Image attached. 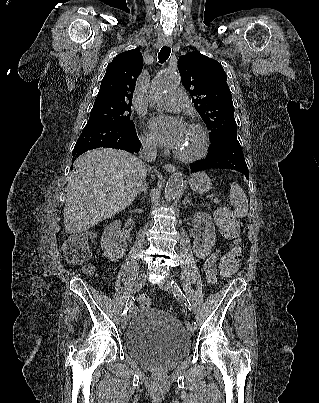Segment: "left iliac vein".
Returning a JSON list of instances; mask_svg holds the SVG:
<instances>
[{"mask_svg": "<svg viewBox=\"0 0 319 403\" xmlns=\"http://www.w3.org/2000/svg\"><path fill=\"white\" fill-rule=\"evenodd\" d=\"M158 285H159V287H160L162 290H165V291H170V290H171L170 282H169V280H167V279L160 281ZM194 332H195V327H193V326L190 325V326L188 327V333H189V335H193Z\"/></svg>", "mask_w": 319, "mask_h": 403, "instance_id": "4c4485c4", "label": "left iliac vein"}]
</instances>
